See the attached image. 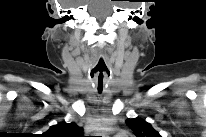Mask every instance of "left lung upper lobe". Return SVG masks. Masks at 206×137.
I'll use <instances>...</instances> for the list:
<instances>
[{
	"instance_id": "1",
	"label": "left lung upper lobe",
	"mask_w": 206,
	"mask_h": 137,
	"mask_svg": "<svg viewBox=\"0 0 206 137\" xmlns=\"http://www.w3.org/2000/svg\"><path fill=\"white\" fill-rule=\"evenodd\" d=\"M125 122L136 137H161L150 123L141 118L127 119Z\"/></svg>"
}]
</instances>
